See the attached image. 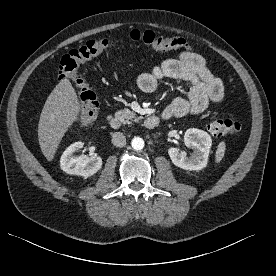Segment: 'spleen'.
Listing matches in <instances>:
<instances>
[{
	"label": "spleen",
	"mask_w": 276,
	"mask_h": 276,
	"mask_svg": "<svg viewBox=\"0 0 276 276\" xmlns=\"http://www.w3.org/2000/svg\"><path fill=\"white\" fill-rule=\"evenodd\" d=\"M225 150H226V145H225V142L222 141L219 143L216 150V156H215L216 163H219L223 159Z\"/></svg>",
	"instance_id": "spleen-1"
}]
</instances>
